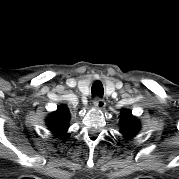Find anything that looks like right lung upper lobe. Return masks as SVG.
Wrapping results in <instances>:
<instances>
[{
    "instance_id": "cb5924a9",
    "label": "right lung upper lobe",
    "mask_w": 179,
    "mask_h": 179,
    "mask_svg": "<svg viewBox=\"0 0 179 179\" xmlns=\"http://www.w3.org/2000/svg\"><path fill=\"white\" fill-rule=\"evenodd\" d=\"M70 119L69 110L65 105L58 107V109L49 115L47 118V126L55 135H64L69 128L68 122Z\"/></svg>"
}]
</instances>
